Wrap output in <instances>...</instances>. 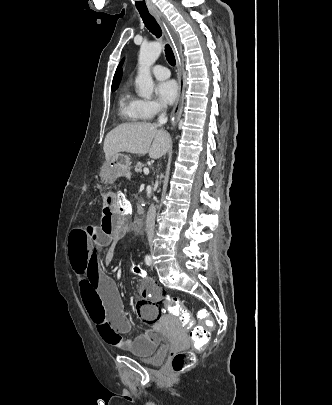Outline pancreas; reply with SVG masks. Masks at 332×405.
I'll return each instance as SVG.
<instances>
[{
  "label": "pancreas",
  "instance_id": "pancreas-1",
  "mask_svg": "<svg viewBox=\"0 0 332 405\" xmlns=\"http://www.w3.org/2000/svg\"><path fill=\"white\" fill-rule=\"evenodd\" d=\"M143 168V164L141 162H138L135 166V172L136 173H141Z\"/></svg>",
  "mask_w": 332,
  "mask_h": 405
}]
</instances>
